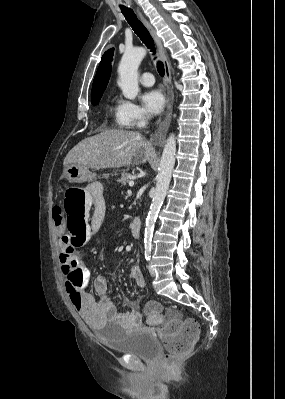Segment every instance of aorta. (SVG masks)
<instances>
[{"instance_id": "aorta-1", "label": "aorta", "mask_w": 285, "mask_h": 399, "mask_svg": "<svg viewBox=\"0 0 285 399\" xmlns=\"http://www.w3.org/2000/svg\"><path fill=\"white\" fill-rule=\"evenodd\" d=\"M146 49L143 47H134L126 49L118 67V86L121 88L125 98L134 100L139 92L138 86V68L144 57ZM176 156V137L171 134L166 140L165 147L160 160L159 173L157 176L156 189L144 231V245L151 246L155 222L159 210L163 204L166 193L169 188L172 171L175 165Z\"/></svg>"}]
</instances>
